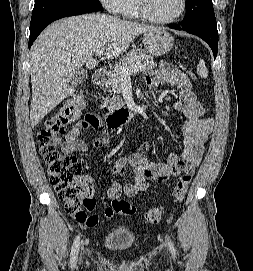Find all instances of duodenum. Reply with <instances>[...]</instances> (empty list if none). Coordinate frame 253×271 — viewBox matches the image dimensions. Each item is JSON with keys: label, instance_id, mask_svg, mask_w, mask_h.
I'll use <instances>...</instances> for the list:
<instances>
[{"label": "duodenum", "instance_id": "duodenum-1", "mask_svg": "<svg viewBox=\"0 0 253 271\" xmlns=\"http://www.w3.org/2000/svg\"><path fill=\"white\" fill-rule=\"evenodd\" d=\"M106 80V72L98 70L93 75V83L97 86L103 85ZM137 115V111L127 107H119L111 110L106 121L111 128H119L128 123Z\"/></svg>", "mask_w": 253, "mask_h": 271}]
</instances>
